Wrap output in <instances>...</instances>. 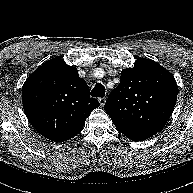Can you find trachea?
Segmentation results:
<instances>
[{"label": "trachea", "instance_id": "1", "mask_svg": "<svg viewBox=\"0 0 193 193\" xmlns=\"http://www.w3.org/2000/svg\"><path fill=\"white\" fill-rule=\"evenodd\" d=\"M91 96L103 98L105 96V87L101 83H97L91 91Z\"/></svg>", "mask_w": 193, "mask_h": 193}]
</instances>
